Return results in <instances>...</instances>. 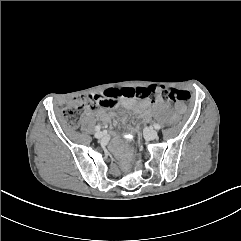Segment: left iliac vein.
Here are the masks:
<instances>
[{
	"mask_svg": "<svg viewBox=\"0 0 241 241\" xmlns=\"http://www.w3.org/2000/svg\"><path fill=\"white\" fill-rule=\"evenodd\" d=\"M144 135L149 140H154L158 137V133L156 130L151 128H145L144 129Z\"/></svg>",
	"mask_w": 241,
	"mask_h": 241,
	"instance_id": "left-iliac-vein-1",
	"label": "left iliac vein"
}]
</instances>
